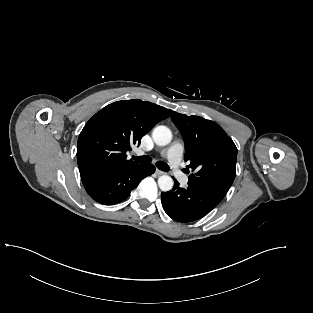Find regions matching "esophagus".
<instances>
[{
	"label": "esophagus",
	"instance_id": "esophagus-1",
	"mask_svg": "<svg viewBox=\"0 0 313 313\" xmlns=\"http://www.w3.org/2000/svg\"><path fill=\"white\" fill-rule=\"evenodd\" d=\"M156 174H157V175H164L165 172H163V171H161V170H159V169H156Z\"/></svg>",
	"mask_w": 313,
	"mask_h": 313
}]
</instances>
